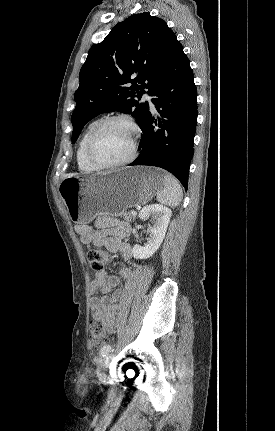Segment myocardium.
Listing matches in <instances>:
<instances>
[{"label": "myocardium", "instance_id": "obj_1", "mask_svg": "<svg viewBox=\"0 0 275 431\" xmlns=\"http://www.w3.org/2000/svg\"><path fill=\"white\" fill-rule=\"evenodd\" d=\"M112 122H123L125 123L131 130L132 133V147L130 154L124 160L117 163H102L97 161L92 155V146L94 140L97 135L101 132V130L108 124ZM138 139H139V131L136 124L127 116L124 115H113L106 117L100 121L93 127L91 132L89 133L86 142H85V157L87 162L93 166L95 169H117L124 167L134 161L137 155L138 150Z\"/></svg>", "mask_w": 275, "mask_h": 431}]
</instances>
